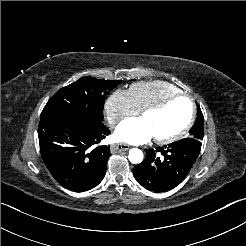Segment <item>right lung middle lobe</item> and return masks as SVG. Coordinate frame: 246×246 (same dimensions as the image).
<instances>
[{
    "label": "right lung middle lobe",
    "mask_w": 246,
    "mask_h": 246,
    "mask_svg": "<svg viewBox=\"0 0 246 246\" xmlns=\"http://www.w3.org/2000/svg\"><path fill=\"white\" fill-rule=\"evenodd\" d=\"M121 80H101L83 77L61 88L45 105L40 118H65L81 122L103 120L106 95Z\"/></svg>",
    "instance_id": "1"
}]
</instances>
